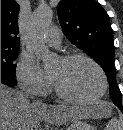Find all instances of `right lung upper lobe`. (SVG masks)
<instances>
[{
  "instance_id": "right-lung-upper-lobe-1",
  "label": "right lung upper lobe",
  "mask_w": 123,
  "mask_h": 130,
  "mask_svg": "<svg viewBox=\"0 0 123 130\" xmlns=\"http://www.w3.org/2000/svg\"><path fill=\"white\" fill-rule=\"evenodd\" d=\"M20 7L16 1L1 0V48L19 49L17 17Z\"/></svg>"
}]
</instances>
